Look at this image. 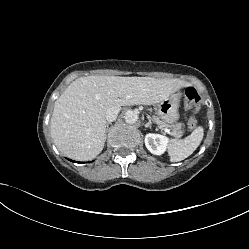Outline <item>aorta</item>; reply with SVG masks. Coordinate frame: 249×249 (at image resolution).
I'll return each mask as SVG.
<instances>
[{
    "label": "aorta",
    "instance_id": "1",
    "mask_svg": "<svg viewBox=\"0 0 249 249\" xmlns=\"http://www.w3.org/2000/svg\"><path fill=\"white\" fill-rule=\"evenodd\" d=\"M124 118H125L126 123H130V124H131V123H135V122H137V120H138V114H137V112L134 111V110H128V111L125 113Z\"/></svg>",
    "mask_w": 249,
    "mask_h": 249
}]
</instances>
